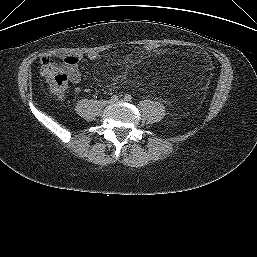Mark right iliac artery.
Here are the masks:
<instances>
[{
  "instance_id": "82829eb1",
  "label": "right iliac artery",
  "mask_w": 257,
  "mask_h": 257,
  "mask_svg": "<svg viewBox=\"0 0 257 257\" xmlns=\"http://www.w3.org/2000/svg\"><path fill=\"white\" fill-rule=\"evenodd\" d=\"M110 100L112 102H116L118 100V96L117 95H113V96H111Z\"/></svg>"
}]
</instances>
